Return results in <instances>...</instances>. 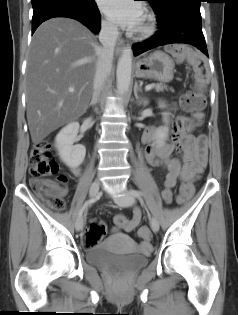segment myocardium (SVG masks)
Instances as JSON below:
<instances>
[{"label": "myocardium", "instance_id": "1", "mask_svg": "<svg viewBox=\"0 0 238 315\" xmlns=\"http://www.w3.org/2000/svg\"><path fill=\"white\" fill-rule=\"evenodd\" d=\"M155 26L154 16L151 13H147L144 16V23L137 29L136 35L139 38H147L155 32Z\"/></svg>", "mask_w": 238, "mask_h": 315}]
</instances>
